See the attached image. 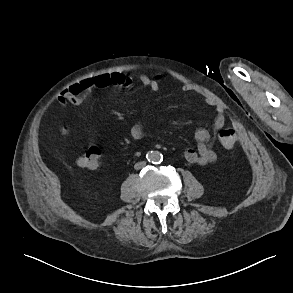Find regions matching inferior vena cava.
Wrapping results in <instances>:
<instances>
[{
	"label": "inferior vena cava",
	"instance_id": "602c4592",
	"mask_svg": "<svg viewBox=\"0 0 293 293\" xmlns=\"http://www.w3.org/2000/svg\"><path fill=\"white\" fill-rule=\"evenodd\" d=\"M145 165H146V162H145V161L138 162V163H136V164L134 165V168H135L136 170H139V169L143 168Z\"/></svg>",
	"mask_w": 293,
	"mask_h": 293
}]
</instances>
